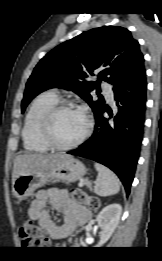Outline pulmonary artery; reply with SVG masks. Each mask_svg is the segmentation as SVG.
<instances>
[{
  "label": "pulmonary artery",
  "mask_w": 162,
  "mask_h": 261,
  "mask_svg": "<svg viewBox=\"0 0 162 261\" xmlns=\"http://www.w3.org/2000/svg\"><path fill=\"white\" fill-rule=\"evenodd\" d=\"M102 88H103V92L106 95L107 99L109 101H113L114 93H113L112 87L110 85H108L107 83H103Z\"/></svg>",
  "instance_id": "obj_1"
}]
</instances>
